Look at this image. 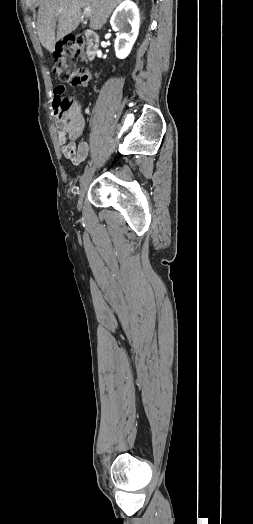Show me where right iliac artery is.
I'll list each match as a JSON object with an SVG mask.
<instances>
[{"instance_id": "82829eb1", "label": "right iliac artery", "mask_w": 253, "mask_h": 524, "mask_svg": "<svg viewBox=\"0 0 253 524\" xmlns=\"http://www.w3.org/2000/svg\"><path fill=\"white\" fill-rule=\"evenodd\" d=\"M90 165H91V162L88 161V163H87V165H86V167H85V170H84V174H83L82 177H81V180H82V178L84 177V175L86 174V172L88 171ZM81 180H80V181H81Z\"/></svg>"}]
</instances>
